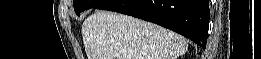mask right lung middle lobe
<instances>
[{"label":"right lung middle lobe","mask_w":261,"mask_h":59,"mask_svg":"<svg viewBox=\"0 0 261 59\" xmlns=\"http://www.w3.org/2000/svg\"><path fill=\"white\" fill-rule=\"evenodd\" d=\"M103 1L104 0H74V10L76 14L79 16L81 11L94 8Z\"/></svg>","instance_id":"dd1d6c3e"}]
</instances>
